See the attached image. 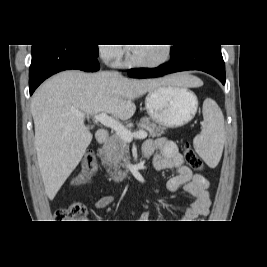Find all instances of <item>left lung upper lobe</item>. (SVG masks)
<instances>
[{
	"instance_id": "obj_1",
	"label": "left lung upper lobe",
	"mask_w": 267,
	"mask_h": 267,
	"mask_svg": "<svg viewBox=\"0 0 267 267\" xmlns=\"http://www.w3.org/2000/svg\"><path fill=\"white\" fill-rule=\"evenodd\" d=\"M181 46H184V45H174V48H178V47H181Z\"/></svg>"
}]
</instances>
